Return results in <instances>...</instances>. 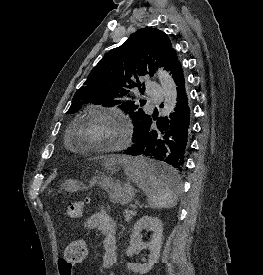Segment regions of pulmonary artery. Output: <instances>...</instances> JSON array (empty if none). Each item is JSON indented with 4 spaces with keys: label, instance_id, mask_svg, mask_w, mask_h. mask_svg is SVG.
<instances>
[{
    "label": "pulmonary artery",
    "instance_id": "obj_1",
    "mask_svg": "<svg viewBox=\"0 0 263 275\" xmlns=\"http://www.w3.org/2000/svg\"><path fill=\"white\" fill-rule=\"evenodd\" d=\"M147 95L155 102L162 100V90L156 83H149L147 85Z\"/></svg>",
    "mask_w": 263,
    "mask_h": 275
}]
</instances>
